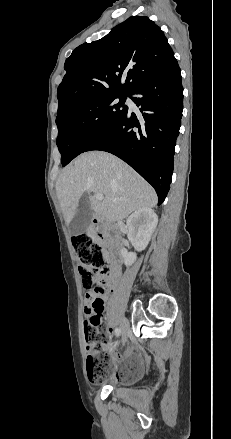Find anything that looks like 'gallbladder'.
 <instances>
[{
  "mask_svg": "<svg viewBox=\"0 0 231 439\" xmlns=\"http://www.w3.org/2000/svg\"><path fill=\"white\" fill-rule=\"evenodd\" d=\"M92 218V208L88 195L84 194L78 203L77 214L69 225V232L73 235L83 233L89 226Z\"/></svg>",
  "mask_w": 231,
  "mask_h": 439,
  "instance_id": "1",
  "label": "gallbladder"
}]
</instances>
